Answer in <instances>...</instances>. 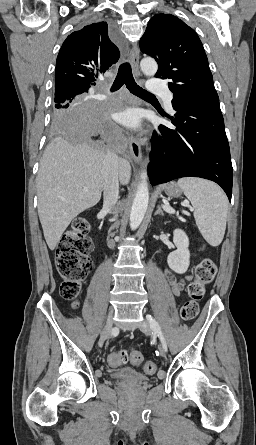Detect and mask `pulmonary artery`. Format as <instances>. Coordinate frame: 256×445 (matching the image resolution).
<instances>
[{
	"label": "pulmonary artery",
	"mask_w": 256,
	"mask_h": 445,
	"mask_svg": "<svg viewBox=\"0 0 256 445\" xmlns=\"http://www.w3.org/2000/svg\"><path fill=\"white\" fill-rule=\"evenodd\" d=\"M148 89L152 92H160L163 93L165 97V104L168 108L171 109L172 107V94L169 92V90L166 88V85L163 81H161L159 78H151L150 83L148 85Z\"/></svg>",
	"instance_id": "obj_1"
}]
</instances>
